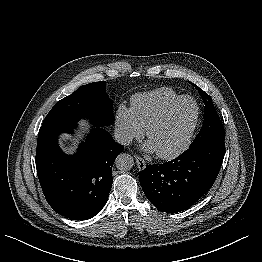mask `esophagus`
<instances>
[{"label":"esophagus","instance_id":"esophagus-1","mask_svg":"<svg viewBox=\"0 0 262 262\" xmlns=\"http://www.w3.org/2000/svg\"><path fill=\"white\" fill-rule=\"evenodd\" d=\"M135 160L139 170H143L146 167V162L140 156L136 155Z\"/></svg>","mask_w":262,"mask_h":262}]
</instances>
